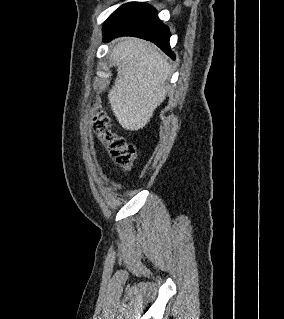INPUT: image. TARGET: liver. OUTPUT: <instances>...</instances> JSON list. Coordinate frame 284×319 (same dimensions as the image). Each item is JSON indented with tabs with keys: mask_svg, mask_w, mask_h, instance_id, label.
<instances>
[{
	"mask_svg": "<svg viewBox=\"0 0 284 319\" xmlns=\"http://www.w3.org/2000/svg\"><path fill=\"white\" fill-rule=\"evenodd\" d=\"M110 57L117 66L108 94L111 109L124 129L137 131L166 97L169 63L152 43L134 37L116 44Z\"/></svg>",
	"mask_w": 284,
	"mask_h": 319,
	"instance_id": "liver-1",
	"label": "liver"
}]
</instances>
